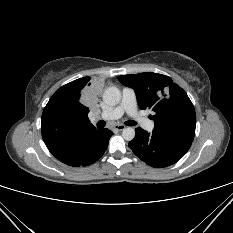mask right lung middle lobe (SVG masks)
<instances>
[{"label":"right lung middle lobe","instance_id":"right-lung-middle-lobe-1","mask_svg":"<svg viewBox=\"0 0 233 233\" xmlns=\"http://www.w3.org/2000/svg\"><path fill=\"white\" fill-rule=\"evenodd\" d=\"M67 114L66 106L59 101L48 102L42 114V120L57 122Z\"/></svg>","mask_w":233,"mask_h":233}]
</instances>
